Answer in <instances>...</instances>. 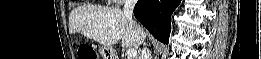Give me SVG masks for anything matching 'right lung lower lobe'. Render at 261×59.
Wrapping results in <instances>:
<instances>
[{"label": "right lung lower lobe", "mask_w": 261, "mask_h": 59, "mask_svg": "<svg viewBox=\"0 0 261 59\" xmlns=\"http://www.w3.org/2000/svg\"><path fill=\"white\" fill-rule=\"evenodd\" d=\"M180 0H138L134 15L159 41L168 44L170 17Z\"/></svg>", "instance_id": "right-lung-lower-lobe-1"}]
</instances>
